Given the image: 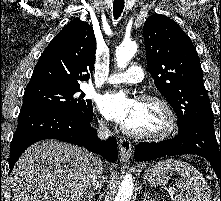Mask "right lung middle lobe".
I'll list each match as a JSON object with an SVG mask.
<instances>
[{
	"instance_id": "1",
	"label": "right lung middle lobe",
	"mask_w": 221,
	"mask_h": 201,
	"mask_svg": "<svg viewBox=\"0 0 221 201\" xmlns=\"http://www.w3.org/2000/svg\"><path fill=\"white\" fill-rule=\"evenodd\" d=\"M80 88H61L51 86L30 87L25 89L22 109L42 107L89 116L93 113L92 102L84 100Z\"/></svg>"
}]
</instances>
